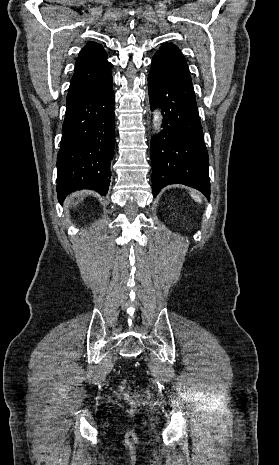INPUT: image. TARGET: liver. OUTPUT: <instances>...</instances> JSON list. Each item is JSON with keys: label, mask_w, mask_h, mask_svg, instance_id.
I'll return each mask as SVG.
<instances>
[{"label": "liver", "mask_w": 279, "mask_h": 465, "mask_svg": "<svg viewBox=\"0 0 279 465\" xmlns=\"http://www.w3.org/2000/svg\"><path fill=\"white\" fill-rule=\"evenodd\" d=\"M86 193H87L86 191H83V192H77V193H75L74 195L77 196V197L79 198V200H80V199L82 200V199L85 197ZM73 204H74V203H73ZM77 204H78V201L75 202V205H77Z\"/></svg>", "instance_id": "obj_1"}]
</instances>
